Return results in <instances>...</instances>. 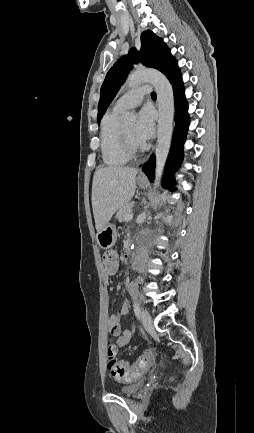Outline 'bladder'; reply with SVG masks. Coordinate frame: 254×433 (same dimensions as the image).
<instances>
[{"label":"bladder","instance_id":"bladder-1","mask_svg":"<svg viewBox=\"0 0 254 433\" xmlns=\"http://www.w3.org/2000/svg\"><path fill=\"white\" fill-rule=\"evenodd\" d=\"M139 387H140V383L136 382L134 384L119 388L118 392L124 396H132L138 392Z\"/></svg>","mask_w":254,"mask_h":433}]
</instances>
